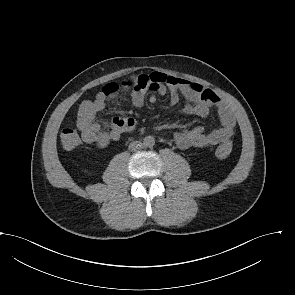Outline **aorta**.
<instances>
[{"label": "aorta", "instance_id": "aorta-1", "mask_svg": "<svg viewBox=\"0 0 295 295\" xmlns=\"http://www.w3.org/2000/svg\"><path fill=\"white\" fill-rule=\"evenodd\" d=\"M154 144H155V140H154V137H152V136H146L143 139V145L145 147H152Z\"/></svg>", "mask_w": 295, "mask_h": 295}]
</instances>
